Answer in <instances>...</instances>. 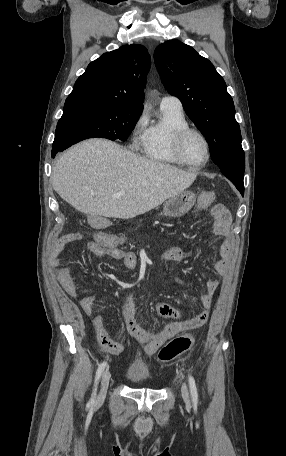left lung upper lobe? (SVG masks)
<instances>
[{"instance_id": "1", "label": "left lung upper lobe", "mask_w": 286, "mask_h": 456, "mask_svg": "<svg viewBox=\"0 0 286 456\" xmlns=\"http://www.w3.org/2000/svg\"><path fill=\"white\" fill-rule=\"evenodd\" d=\"M154 61L167 91L205 136L211 157L223 170L244 172L245 155L233 100L213 64L178 40L159 45Z\"/></svg>"}]
</instances>
